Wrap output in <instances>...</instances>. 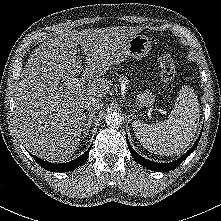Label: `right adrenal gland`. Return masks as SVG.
<instances>
[{
	"instance_id": "2a0ac1e0",
	"label": "right adrenal gland",
	"mask_w": 221,
	"mask_h": 221,
	"mask_svg": "<svg viewBox=\"0 0 221 221\" xmlns=\"http://www.w3.org/2000/svg\"><path fill=\"white\" fill-rule=\"evenodd\" d=\"M94 115H95V112H92L91 114L87 115V119H86L87 121L86 123H84V129H83L85 135H87L90 131V126H91Z\"/></svg>"
}]
</instances>
